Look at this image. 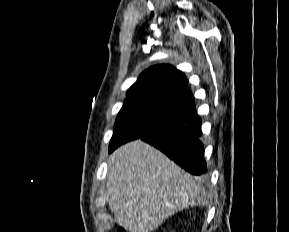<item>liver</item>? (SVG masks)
Here are the masks:
<instances>
[{
  "label": "liver",
  "instance_id": "6515ba94",
  "mask_svg": "<svg viewBox=\"0 0 289 232\" xmlns=\"http://www.w3.org/2000/svg\"><path fill=\"white\" fill-rule=\"evenodd\" d=\"M109 208L130 232H152L175 213L205 203L196 178L141 140L120 146L109 157Z\"/></svg>",
  "mask_w": 289,
  "mask_h": 232
}]
</instances>
